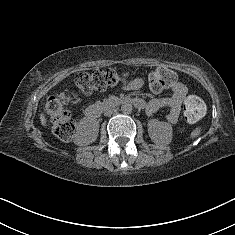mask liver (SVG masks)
<instances>
[{"label":"liver","instance_id":"obj_1","mask_svg":"<svg viewBox=\"0 0 235 235\" xmlns=\"http://www.w3.org/2000/svg\"><path fill=\"white\" fill-rule=\"evenodd\" d=\"M41 120L43 121V123L45 124V121H46V119H45V117L41 114Z\"/></svg>","mask_w":235,"mask_h":235}]
</instances>
